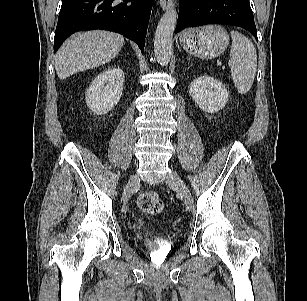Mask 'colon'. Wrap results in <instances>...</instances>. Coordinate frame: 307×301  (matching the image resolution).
Wrapping results in <instances>:
<instances>
[{
    "instance_id": "obj_1",
    "label": "colon",
    "mask_w": 307,
    "mask_h": 301,
    "mask_svg": "<svg viewBox=\"0 0 307 301\" xmlns=\"http://www.w3.org/2000/svg\"><path fill=\"white\" fill-rule=\"evenodd\" d=\"M138 207L145 214L155 215L163 210L164 204L158 193L148 191L139 196ZM147 244L152 248L156 246V242L150 239L147 240Z\"/></svg>"
}]
</instances>
